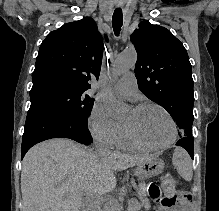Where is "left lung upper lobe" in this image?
<instances>
[{"instance_id": "left-lung-upper-lobe-1", "label": "left lung upper lobe", "mask_w": 219, "mask_h": 211, "mask_svg": "<svg viewBox=\"0 0 219 211\" xmlns=\"http://www.w3.org/2000/svg\"><path fill=\"white\" fill-rule=\"evenodd\" d=\"M138 58L135 68L138 87L150 100L171 115L181 131L192 135L193 78L183 44L166 28L144 20L131 35Z\"/></svg>"}]
</instances>
